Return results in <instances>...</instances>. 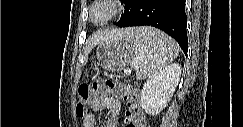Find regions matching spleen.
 I'll return each mask as SVG.
<instances>
[{"label": "spleen", "instance_id": "3e777b00", "mask_svg": "<svg viewBox=\"0 0 243 127\" xmlns=\"http://www.w3.org/2000/svg\"><path fill=\"white\" fill-rule=\"evenodd\" d=\"M127 38L138 49V56L132 63L138 79L154 75L175 60L179 53L176 42L155 28H138Z\"/></svg>", "mask_w": 243, "mask_h": 127}]
</instances>
